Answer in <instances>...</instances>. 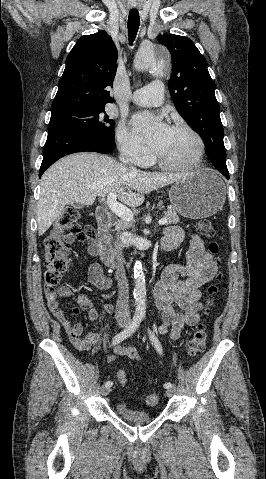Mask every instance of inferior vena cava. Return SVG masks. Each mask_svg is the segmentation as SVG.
<instances>
[{
    "label": "inferior vena cava",
    "mask_w": 266,
    "mask_h": 479,
    "mask_svg": "<svg viewBox=\"0 0 266 479\" xmlns=\"http://www.w3.org/2000/svg\"><path fill=\"white\" fill-rule=\"evenodd\" d=\"M120 160L123 163H128L129 159L126 154L120 155ZM133 172H136L135 167H130ZM123 244L117 240L114 243V254L116 256V279L118 282V300L116 303L115 317L117 320H128L130 319V310H129V284L126 277L124 269V260L122 257Z\"/></svg>",
    "instance_id": "1"
}]
</instances>
